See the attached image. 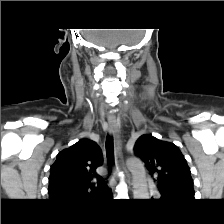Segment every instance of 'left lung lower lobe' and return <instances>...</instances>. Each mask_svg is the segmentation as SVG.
<instances>
[{"mask_svg":"<svg viewBox=\"0 0 224 224\" xmlns=\"http://www.w3.org/2000/svg\"><path fill=\"white\" fill-rule=\"evenodd\" d=\"M185 196H181V195H173V194H161V198L160 200L162 201H181V200H185Z\"/></svg>","mask_w":224,"mask_h":224,"instance_id":"obj_1","label":"left lung lower lobe"}]
</instances>
